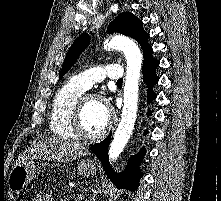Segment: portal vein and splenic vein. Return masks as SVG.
<instances>
[{"label": "portal vein and splenic vein", "mask_w": 221, "mask_h": 201, "mask_svg": "<svg viewBox=\"0 0 221 201\" xmlns=\"http://www.w3.org/2000/svg\"><path fill=\"white\" fill-rule=\"evenodd\" d=\"M76 198L82 200V199H84V196H83L82 194H77V195H76Z\"/></svg>", "instance_id": "portal-vein-and-splenic-vein-1"}]
</instances>
